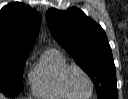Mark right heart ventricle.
Instances as JSON below:
<instances>
[{
    "label": "right heart ventricle",
    "instance_id": "obj_1",
    "mask_svg": "<svg viewBox=\"0 0 128 99\" xmlns=\"http://www.w3.org/2000/svg\"><path fill=\"white\" fill-rule=\"evenodd\" d=\"M69 65L67 58L57 49H49L41 56L30 75L31 90L40 99H69L61 86L60 76Z\"/></svg>",
    "mask_w": 128,
    "mask_h": 99
}]
</instances>
